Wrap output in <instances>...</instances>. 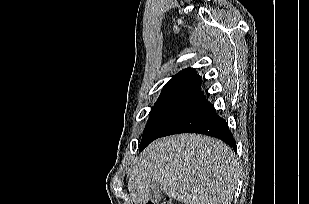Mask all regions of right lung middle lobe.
Instances as JSON below:
<instances>
[{"label":"right lung middle lobe","mask_w":309,"mask_h":204,"mask_svg":"<svg viewBox=\"0 0 309 204\" xmlns=\"http://www.w3.org/2000/svg\"><path fill=\"white\" fill-rule=\"evenodd\" d=\"M195 107L196 105L192 103H156L150 112L147 126L144 129L139 145L140 150H143L169 126Z\"/></svg>","instance_id":"right-lung-middle-lobe-1"}]
</instances>
